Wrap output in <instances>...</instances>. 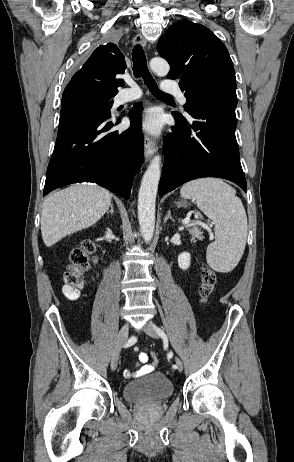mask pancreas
Returning <instances> with one entry per match:
<instances>
[{
    "instance_id": "pancreas-1",
    "label": "pancreas",
    "mask_w": 294,
    "mask_h": 462,
    "mask_svg": "<svg viewBox=\"0 0 294 462\" xmlns=\"http://www.w3.org/2000/svg\"><path fill=\"white\" fill-rule=\"evenodd\" d=\"M188 231H189V233L191 235V241L195 242L196 239H198V240L203 239L202 231L198 226H193V227L189 228Z\"/></svg>"
}]
</instances>
